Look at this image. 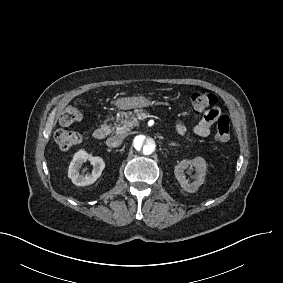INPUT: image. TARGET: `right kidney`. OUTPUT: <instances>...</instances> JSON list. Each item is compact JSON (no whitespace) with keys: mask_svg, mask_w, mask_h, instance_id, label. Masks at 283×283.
I'll use <instances>...</instances> for the list:
<instances>
[{"mask_svg":"<svg viewBox=\"0 0 283 283\" xmlns=\"http://www.w3.org/2000/svg\"><path fill=\"white\" fill-rule=\"evenodd\" d=\"M89 160L93 166V170L90 174H80L82 164ZM105 168V163L100 157H93L84 150H79L73 156V159L69 165L68 177L72 183L77 186H86L93 184L100 176Z\"/></svg>","mask_w":283,"mask_h":283,"instance_id":"obj_1","label":"right kidney"}]
</instances>
